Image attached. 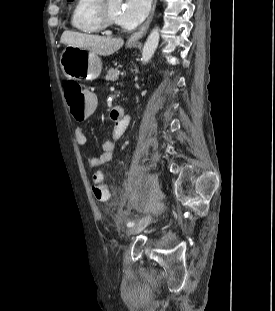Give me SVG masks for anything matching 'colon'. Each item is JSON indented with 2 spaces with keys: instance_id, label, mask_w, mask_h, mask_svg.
I'll use <instances>...</instances> for the list:
<instances>
[{
  "instance_id": "1",
  "label": "colon",
  "mask_w": 275,
  "mask_h": 311,
  "mask_svg": "<svg viewBox=\"0 0 275 311\" xmlns=\"http://www.w3.org/2000/svg\"><path fill=\"white\" fill-rule=\"evenodd\" d=\"M65 94L74 121H89V117H93L97 103L96 92H86L78 83L67 82ZM92 191L98 201H108L109 190L100 173H95L92 177Z\"/></svg>"
}]
</instances>
